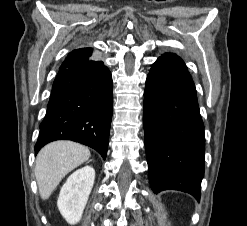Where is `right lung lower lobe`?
Here are the masks:
<instances>
[{"label": "right lung lower lobe", "mask_w": 247, "mask_h": 226, "mask_svg": "<svg viewBox=\"0 0 247 226\" xmlns=\"http://www.w3.org/2000/svg\"><path fill=\"white\" fill-rule=\"evenodd\" d=\"M91 48L73 50L54 80L47 112L40 124L35 153L55 140L87 145L106 159L112 119L113 86L104 63Z\"/></svg>", "instance_id": "right-lung-lower-lobe-1"}]
</instances>
